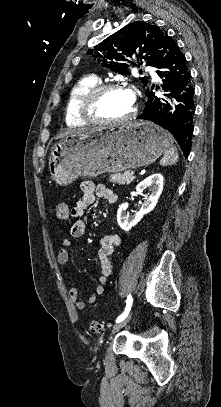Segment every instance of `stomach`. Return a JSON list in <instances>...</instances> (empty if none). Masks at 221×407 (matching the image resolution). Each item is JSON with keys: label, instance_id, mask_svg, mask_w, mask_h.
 I'll return each mask as SVG.
<instances>
[{"label": "stomach", "instance_id": "stomach-1", "mask_svg": "<svg viewBox=\"0 0 221 407\" xmlns=\"http://www.w3.org/2000/svg\"><path fill=\"white\" fill-rule=\"evenodd\" d=\"M172 144L168 132L149 121L69 134L51 148L49 171L61 186L153 163Z\"/></svg>", "mask_w": 221, "mask_h": 407}]
</instances>
